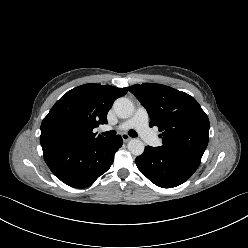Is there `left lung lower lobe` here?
<instances>
[{"label":"left lung lower lobe","mask_w":248,"mask_h":248,"mask_svg":"<svg viewBox=\"0 0 248 248\" xmlns=\"http://www.w3.org/2000/svg\"><path fill=\"white\" fill-rule=\"evenodd\" d=\"M200 160L146 146L136 158V165L151 182L162 188L185 182L198 168Z\"/></svg>","instance_id":"obj_1"}]
</instances>
